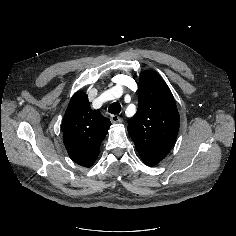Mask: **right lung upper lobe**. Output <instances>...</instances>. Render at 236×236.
I'll list each match as a JSON object with an SVG mask.
<instances>
[{"label": "right lung upper lobe", "instance_id": "obj_1", "mask_svg": "<svg viewBox=\"0 0 236 236\" xmlns=\"http://www.w3.org/2000/svg\"><path fill=\"white\" fill-rule=\"evenodd\" d=\"M111 125L98 110H92L85 93L77 92L70 100L62 122L63 142L70 158L91 167Z\"/></svg>", "mask_w": 236, "mask_h": 236}]
</instances>
